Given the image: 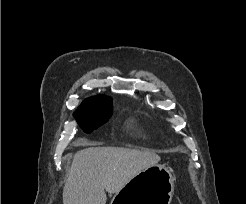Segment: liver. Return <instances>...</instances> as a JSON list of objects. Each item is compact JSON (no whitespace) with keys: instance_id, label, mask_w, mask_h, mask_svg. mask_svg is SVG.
I'll return each mask as SVG.
<instances>
[{"instance_id":"liver-1","label":"liver","mask_w":246,"mask_h":204,"mask_svg":"<svg viewBox=\"0 0 246 204\" xmlns=\"http://www.w3.org/2000/svg\"><path fill=\"white\" fill-rule=\"evenodd\" d=\"M160 160L154 152L124 147L80 150L73 157L63 204H106L105 191L119 192L134 176Z\"/></svg>"}]
</instances>
